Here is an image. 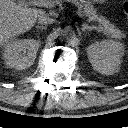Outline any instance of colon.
<instances>
[{"label": "colon", "instance_id": "1", "mask_svg": "<svg viewBox=\"0 0 128 128\" xmlns=\"http://www.w3.org/2000/svg\"><path fill=\"white\" fill-rule=\"evenodd\" d=\"M123 11L125 15L128 17V0H126L123 4Z\"/></svg>", "mask_w": 128, "mask_h": 128}]
</instances>
